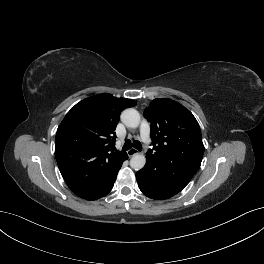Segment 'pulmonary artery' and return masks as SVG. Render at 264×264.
I'll return each mask as SVG.
<instances>
[{
    "label": "pulmonary artery",
    "instance_id": "1",
    "mask_svg": "<svg viewBox=\"0 0 264 264\" xmlns=\"http://www.w3.org/2000/svg\"><path fill=\"white\" fill-rule=\"evenodd\" d=\"M140 133L143 141L148 144L150 142V128L148 122L143 119L140 124Z\"/></svg>",
    "mask_w": 264,
    "mask_h": 264
}]
</instances>
